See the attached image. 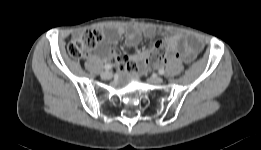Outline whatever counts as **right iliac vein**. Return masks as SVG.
<instances>
[{
	"instance_id": "1",
	"label": "right iliac vein",
	"mask_w": 261,
	"mask_h": 150,
	"mask_svg": "<svg viewBox=\"0 0 261 150\" xmlns=\"http://www.w3.org/2000/svg\"><path fill=\"white\" fill-rule=\"evenodd\" d=\"M101 78L108 80L112 78V72L111 71H104L101 73Z\"/></svg>"
}]
</instances>
